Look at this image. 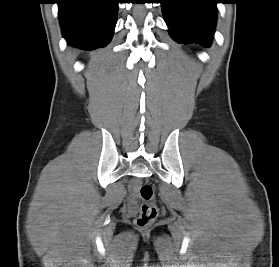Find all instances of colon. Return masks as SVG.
Masks as SVG:
<instances>
[{
    "label": "colon",
    "instance_id": "colon-1",
    "mask_svg": "<svg viewBox=\"0 0 279 267\" xmlns=\"http://www.w3.org/2000/svg\"><path fill=\"white\" fill-rule=\"evenodd\" d=\"M139 194L142 200L140 213L135 220L139 227H147L154 222L158 215V208L155 202V194L153 187L144 183L139 187Z\"/></svg>",
    "mask_w": 279,
    "mask_h": 267
}]
</instances>
